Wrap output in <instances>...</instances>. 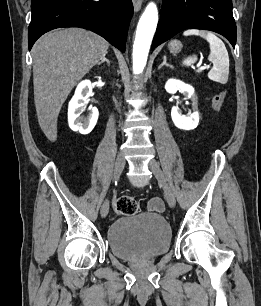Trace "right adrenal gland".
I'll list each match as a JSON object with an SVG mask.
<instances>
[{"label":"right adrenal gland","mask_w":261,"mask_h":306,"mask_svg":"<svg viewBox=\"0 0 261 306\" xmlns=\"http://www.w3.org/2000/svg\"><path fill=\"white\" fill-rule=\"evenodd\" d=\"M104 62H106L108 66L110 65V61L107 58H104L103 60H101V62H99L97 65L99 66L103 64Z\"/></svg>","instance_id":"1"}]
</instances>
